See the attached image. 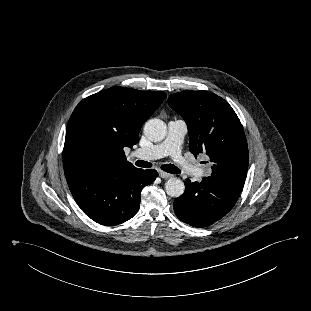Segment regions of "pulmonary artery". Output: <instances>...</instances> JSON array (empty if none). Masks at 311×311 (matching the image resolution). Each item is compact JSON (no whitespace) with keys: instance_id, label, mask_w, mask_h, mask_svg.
<instances>
[{"instance_id":"pulmonary-artery-1","label":"pulmonary artery","mask_w":311,"mask_h":311,"mask_svg":"<svg viewBox=\"0 0 311 311\" xmlns=\"http://www.w3.org/2000/svg\"><path fill=\"white\" fill-rule=\"evenodd\" d=\"M186 131L187 125L183 120H171L168 123L167 136L163 142L147 148L138 149L135 155L146 160L171 156L183 170L193 175L195 178L200 179L206 175L207 169L187 163L181 154V145Z\"/></svg>"}]
</instances>
